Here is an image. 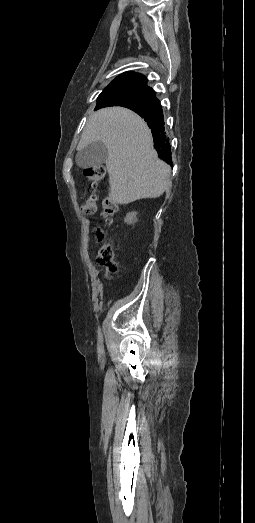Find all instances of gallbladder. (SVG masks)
Listing matches in <instances>:
<instances>
[{"mask_svg":"<svg viewBox=\"0 0 255 523\" xmlns=\"http://www.w3.org/2000/svg\"><path fill=\"white\" fill-rule=\"evenodd\" d=\"M108 158V150L103 142H91L83 150H78L76 154V164L80 168H99L105 164Z\"/></svg>","mask_w":255,"mask_h":523,"instance_id":"gallbladder-1","label":"gallbladder"}]
</instances>
